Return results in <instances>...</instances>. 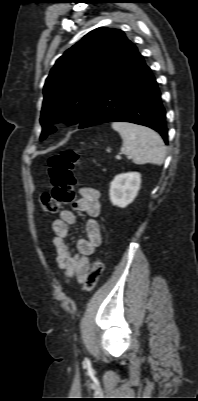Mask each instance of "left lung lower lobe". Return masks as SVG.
Masks as SVG:
<instances>
[{
	"mask_svg": "<svg viewBox=\"0 0 198 401\" xmlns=\"http://www.w3.org/2000/svg\"><path fill=\"white\" fill-rule=\"evenodd\" d=\"M115 121L150 127L168 143L160 92L136 47L94 98L79 121V128Z\"/></svg>",
	"mask_w": 198,
	"mask_h": 401,
	"instance_id": "0a47b994",
	"label": "left lung lower lobe"
}]
</instances>
